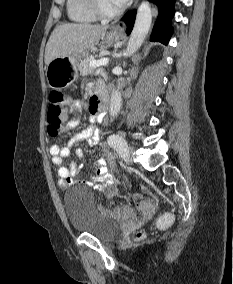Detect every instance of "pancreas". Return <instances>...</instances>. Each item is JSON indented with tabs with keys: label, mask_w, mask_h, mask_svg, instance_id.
Here are the masks:
<instances>
[{
	"label": "pancreas",
	"mask_w": 233,
	"mask_h": 284,
	"mask_svg": "<svg viewBox=\"0 0 233 284\" xmlns=\"http://www.w3.org/2000/svg\"><path fill=\"white\" fill-rule=\"evenodd\" d=\"M92 60H95V56L94 55H89L87 57H85L79 64H78V68H79V71H80V74L82 76H85V75H89V74H92L96 68L95 67H91L90 66V62ZM103 70L100 68L99 69V72H102Z\"/></svg>",
	"instance_id": "1"
}]
</instances>
